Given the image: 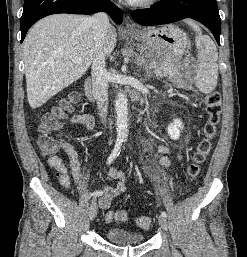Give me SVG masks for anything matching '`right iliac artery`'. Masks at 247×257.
Wrapping results in <instances>:
<instances>
[{
  "label": "right iliac artery",
  "instance_id": "1",
  "mask_svg": "<svg viewBox=\"0 0 247 257\" xmlns=\"http://www.w3.org/2000/svg\"><path fill=\"white\" fill-rule=\"evenodd\" d=\"M121 145H122V141L121 140H117L114 149L112 150L110 156L108 157L107 160V164L110 165L115 159L116 157L120 154V149H121ZM101 192H93L92 194H90L87 199H89L92 196H98L100 195Z\"/></svg>",
  "mask_w": 247,
  "mask_h": 257
}]
</instances>
